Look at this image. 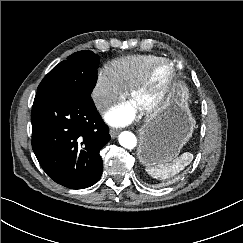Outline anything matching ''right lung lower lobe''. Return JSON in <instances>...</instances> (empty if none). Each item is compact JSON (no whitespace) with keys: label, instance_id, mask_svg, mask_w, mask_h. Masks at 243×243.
<instances>
[{"label":"right lung lower lobe","instance_id":"right-lung-lower-lobe-1","mask_svg":"<svg viewBox=\"0 0 243 243\" xmlns=\"http://www.w3.org/2000/svg\"><path fill=\"white\" fill-rule=\"evenodd\" d=\"M31 118L33 151L52 180L70 189L99 180V151L111 137L90 97L37 93Z\"/></svg>","mask_w":243,"mask_h":243}]
</instances>
